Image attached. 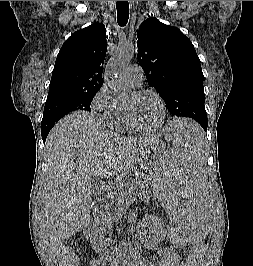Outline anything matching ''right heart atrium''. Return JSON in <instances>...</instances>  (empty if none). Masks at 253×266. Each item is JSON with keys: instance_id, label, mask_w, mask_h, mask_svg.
I'll return each instance as SVG.
<instances>
[{"instance_id": "1", "label": "right heart atrium", "mask_w": 253, "mask_h": 266, "mask_svg": "<svg viewBox=\"0 0 253 266\" xmlns=\"http://www.w3.org/2000/svg\"><path fill=\"white\" fill-rule=\"evenodd\" d=\"M90 107L104 125H111L119 110L118 102L105 84L93 96Z\"/></svg>"}]
</instances>
